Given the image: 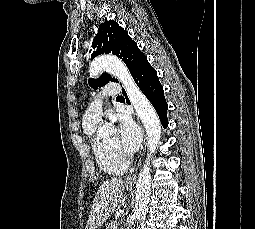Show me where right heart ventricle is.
Returning a JSON list of instances; mask_svg holds the SVG:
<instances>
[{
  "mask_svg": "<svg viewBox=\"0 0 255 229\" xmlns=\"http://www.w3.org/2000/svg\"><path fill=\"white\" fill-rule=\"evenodd\" d=\"M97 127L98 125H85L83 123L84 132L89 139L97 165L108 175H122L127 168V162L97 139L95 135Z\"/></svg>",
  "mask_w": 255,
  "mask_h": 229,
  "instance_id": "e07e8e85",
  "label": "right heart ventricle"
}]
</instances>
